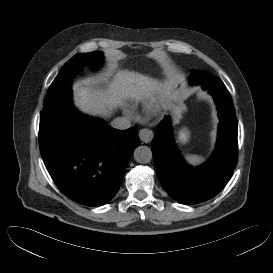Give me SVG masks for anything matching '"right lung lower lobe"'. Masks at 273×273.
<instances>
[{"label": "right lung lower lobe", "instance_id": "1", "mask_svg": "<svg viewBox=\"0 0 273 273\" xmlns=\"http://www.w3.org/2000/svg\"><path fill=\"white\" fill-rule=\"evenodd\" d=\"M40 154L57 187L85 206H102L117 193L139 145L136 127L117 130L78 113L67 89L43 105Z\"/></svg>", "mask_w": 273, "mask_h": 273}]
</instances>
